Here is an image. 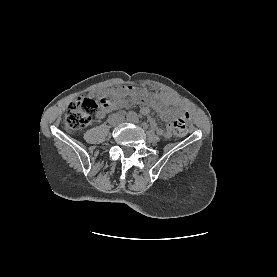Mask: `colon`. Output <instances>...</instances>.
<instances>
[{"label":"colon","instance_id":"colon-1","mask_svg":"<svg viewBox=\"0 0 277 277\" xmlns=\"http://www.w3.org/2000/svg\"><path fill=\"white\" fill-rule=\"evenodd\" d=\"M106 99L100 98L98 101L87 97H79L74 100L67 108L63 120L65 130L74 132L86 127L97 108L102 107ZM173 136L181 139L187 132L186 122L183 119H177L172 125Z\"/></svg>","mask_w":277,"mask_h":277}]
</instances>
